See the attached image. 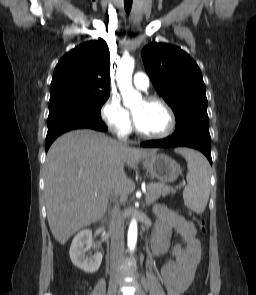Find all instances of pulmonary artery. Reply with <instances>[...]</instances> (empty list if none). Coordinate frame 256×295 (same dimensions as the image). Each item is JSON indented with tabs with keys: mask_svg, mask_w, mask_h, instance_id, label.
I'll return each mask as SVG.
<instances>
[{
	"mask_svg": "<svg viewBox=\"0 0 256 295\" xmlns=\"http://www.w3.org/2000/svg\"><path fill=\"white\" fill-rule=\"evenodd\" d=\"M133 84L136 88L146 91L150 85V80L145 73L136 72L133 77Z\"/></svg>",
	"mask_w": 256,
	"mask_h": 295,
	"instance_id": "obj_1",
	"label": "pulmonary artery"
}]
</instances>
